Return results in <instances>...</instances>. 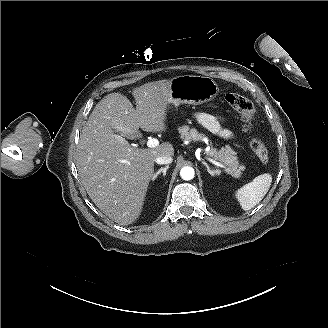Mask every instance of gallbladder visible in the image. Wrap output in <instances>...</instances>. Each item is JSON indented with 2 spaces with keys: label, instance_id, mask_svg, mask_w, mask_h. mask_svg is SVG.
I'll return each instance as SVG.
<instances>
[{
  "label": "gallbladder",
  "instance_id": "1",
  "mask_svg": "<svg viewBox=\"0 0 328 328\" xmlns=\"http://www.w3.org/2000/svg\"><path fill=\"white\" fill-rule=\"evenodd\" d=\"M114 132H117L116 130H113ZM120 135H123L124 137L128 138V139H137V138H141L142 137V134L137 131L136 133L134 134H126L124 135L122 132H118Z\"/></svg>",
  "mask_w": 328,
  "mask_h": 328
}]
</instances>
